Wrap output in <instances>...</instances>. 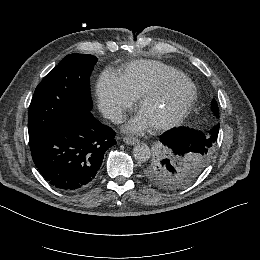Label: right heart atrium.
Masks as SVG:
<instances>
[{
  "instance_id": "right-heart-atrium-1",
  "label": "right heart atrium",
  "mask_w": 260,
  "mask_h": 260,
  "mask_svg": "<svg viewBox=\"0 0 260 260\" xmlns=\"http://www.w3.org/2000/svg\"><path fill=\"white\" fill-rule=\"evenodd\" d=\"M97 96L101 109L109 113L118 103L117 78L109 71L101 73L97 83Z\"/></svg>"
}]
</instances>
